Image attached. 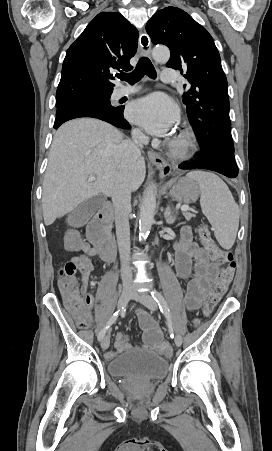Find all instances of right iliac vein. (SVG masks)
Instances as JSON below:
<instances>
[{
	"label": "right iliac vein",
	"instance_id": "1",
	"mask_svg": "<svg viewBox=\"0 0 272 451\" xmlns=\"http://www.w3.org/2000/svg\"><path fill=\"white\" fill-rule=\"evenodd\" d=\"M132 294H133V290L129 287H125L120 294V297L118 300V308L124 307L128 303V301L131 299ZM109 344H110V336L106 335L105 337H103L101 339L102 349L103 350L108 349Z\"/></svg>",
	"mask_w": 272,
	"mask_h": 451
}]
</instances>
